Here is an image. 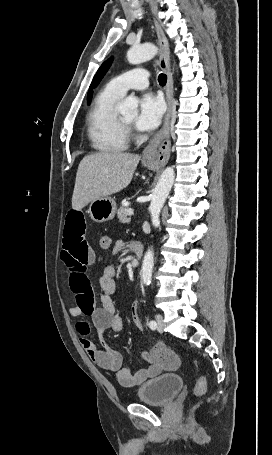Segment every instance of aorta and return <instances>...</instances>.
I'll return each instance as SVG.
<instances>
[{
	"mask_svg": "<svg viewBox=\"0 0 272 455\" xmlns=\"http://www.w3.org/2000/svg\"><path fill=\"white\" fill-rule=\"evenodd\" d=\"M158 53V48L150 43L140 46H133L127 52V59L130 64L136 65L152 59ZM138 101L134 96H128L119 105V111L123 115H134L137 113ZM175 179V171L173 167H167L161 174L156 187L151 196L149 212L153 223L159 222L161 209L166 201V198L171 191ZM154 266V252L149 249L142 263V280L143 283L149 285L152 279V270Z\"/></svg>",
	"mask_w": 272,
	"mask_h": 455,
	"instance_id": "aorta-1",
	"label": "aorta"
}]
</instances>
